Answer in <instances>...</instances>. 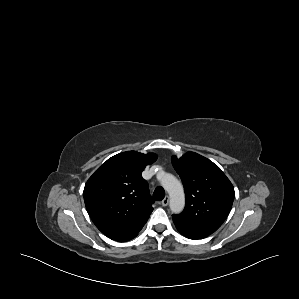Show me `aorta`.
<instances>
[{
    "instance_id": "762f6f07",
    "label": "aorta",
    "mask_w": 299,
    "mask_h": 299,
    "mask_svg": "<svg viewBox=\"0 0 299 299\" xmlns=\"http://www.w3.org/2000/svg\"><path fill=\"white\" fill-rule=\"evenodd\" d=\"M160 182L170 197V209L172 213H180L185 206V194L180 181L169 173H162Z\"/></svg>"
}]
</instances>
